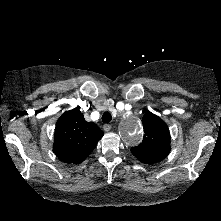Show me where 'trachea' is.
Segmentation results:
<instances>
[{
  "label": "trachea",
  "mask_w": 221,
  "mask_h": 221,
  "mask_svg": "<svg viewBox=\"0 0 221 221\" xmlns=\"http://www.w3.org/2000/svg\"><path fill=\"white\" fill-rule=\"evenodd\" d=\"M112 120V116L109 112H105L103 115H102V121L103 123H109L110 121Z\"/></svg>",
  "instance_id": "1"
}]
</instances>
